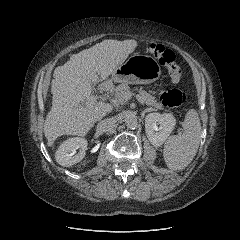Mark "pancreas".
Masks as SVG:
<instances>
[{"instance_id":"cf45deb5","label":"pancreas","mask_w":240,"mask_h":240,"mask_svg":"<svg viewBox=\"0 0 240 240\" xmlns=\"http://www.w3.org/2000/svg\"><path fill=\"white\" fill-rule=\"evenodd\" d=\"M126 93H131L130 87L126 83L119 84L115 88V99L119 104L123 105L126 102V100L124 99V96ZM138 95L140 96L144 104L150 107H154L155 110L163 109L162 104L159 103L155 99V97H153L151 94H149L145 90L139 89Z\"/></svg>"}]
</instances>
